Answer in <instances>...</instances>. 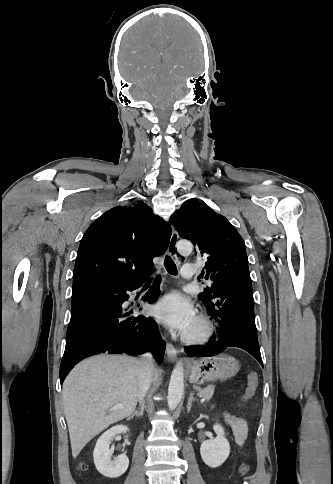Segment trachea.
<instances>
[{
    "label": "trachea",
    "instance_id": "obj_1",
    "mask_svg": "<svg viewBox=\"0 0 333 484\" xmlns=\"http://www.w3.org/2000/svg\"><path fill=\"white\" fill-rule=\"evenodd\" d=\"M164 266H165L166 270L168 271V273H170L172 275L177 274L176 265H175L174 261L171 259V257H169V256L165 257Z\"/></svg>",
    "mask_w": 333,
    "mask_h": 484
}]
</instances>
